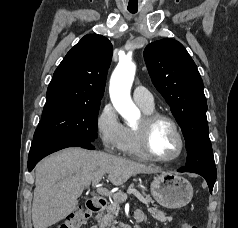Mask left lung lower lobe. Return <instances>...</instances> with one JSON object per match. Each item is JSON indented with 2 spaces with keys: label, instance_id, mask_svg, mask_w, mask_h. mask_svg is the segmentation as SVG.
Segmentation results:
<instances>
[{
  "label": "left lung lower lobe",
  "instance_id": "1",
  "mask_svg": "<svg viewBox=\"0 0 238 228\" xmlns=\"http://www.w3.org/2000/svg\"><path fill=\"white\" fill-rule=\"evenodd\" d=\"M178 171L179 172H194V173L201 175L207 181L209 190H210V192H212L214 183L216 181V175L208 174V173L201 172V171H187L186 169H184V167L180 168Z\"/></svg>",
  "mask_w": 238,
  "mask_h": 228
}]
</instances>
